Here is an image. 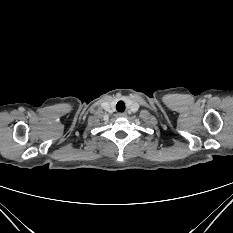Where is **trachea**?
Wrapping results in <instances>:
<instances>
[{"mask_svg":"<svg viewBox=\"0 0 233 233\" xmlns=\"http://www.w3.org/2000/svg\"><path fill=\"white\" fill-rule=\"evenodd\" d=\"M116 109H117L118 112H124V110H125V103L123 101H119L116 104Z\"/></svg>","mask_w":233,"mask_h":233,"instance_id":"obj_1","label":"trachea"}]
</instances>
